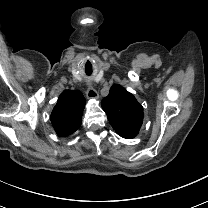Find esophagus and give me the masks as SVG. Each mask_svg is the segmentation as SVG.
<instances>
[{"instance_id":"1","label":"esophagus","mask_w":208,"mask_h":208,"mask_svg":"<svg viewBox=\"0 0 208 208\" xmlns=\"http://www.w3.org/2000/svg\"><path fill=\"white\" fill-rule=\"evenodd\" d=\"M87 84L89 85L87 91H86V96L88 99H98L99 95L98 92L91 87V82H87Z\"/></svg>"}]
</instances>
